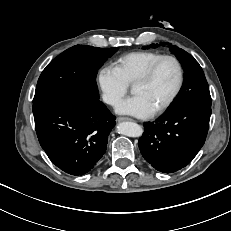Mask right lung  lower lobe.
I'll use <instances>...</instances> for the list:
<instances>
[{"mask_svg": "<svg viewBox=\"0 0 231 231\" xmlns=\"http://www.w3.org/2000/svg\"><path fill=\"white\" fill-rule=\"evenodd\" d=\"M39 143L62 171L83 175L107 149L115 117L99 99L59 96L33 104Z\"/></svg>", "mask_w": 231, "mask_h": 231, "instance_id": "98d812e1", "label": "right lung lower lobe"}]
</instances>
